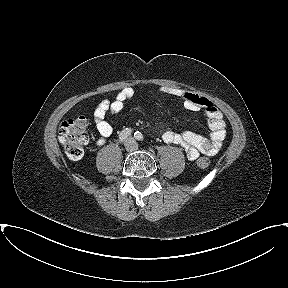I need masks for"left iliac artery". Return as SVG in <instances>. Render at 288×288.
<instances>
[{
    "label": "left iliac artery",
    "mask_w": 288,
    "mask_h": 288,
    "mask_svg": "<svg viewBox=\"0 0 288 288\" xmlns=\"http://www.w3.org/2000/svg\"><path fill=\"white\" fill-rule=\"evenodd\" d=\"M134 137L139 141L143 140V135L138 131L134 133Z\"/></svg>",
    "instance_id": "left-iliac-artery-1"
}]
</instances>
